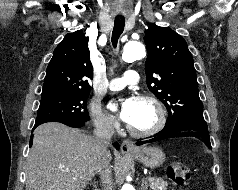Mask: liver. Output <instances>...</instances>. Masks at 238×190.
Instances as JSON below:
<instances>
[{"instance_id": "liver-1", "label": "liver", "mask_w": 238, "mask_h": 190, "mask_svg": "<svg viewBox=\"0 0 238 190\" xmlns=\"http://www.w3.org/2000/svg\"><path fill=\"white\" fill-rule=\"evenodd\" d=\"M107 165L110 151L105 154ZM100 170L95 138L58 122L34 131L25 190H84Z\"/></svg>"}]
</instances>
